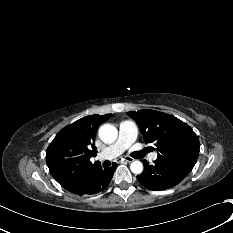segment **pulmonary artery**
Returning a JSON list of instances; mask_svg holds the SVG:
<instances>
[{
    "instance_id": "e3ab8cb5",
    "label": "pulmonary artery",
    "mask_w": 233,
    "mask_h": 233,
    "mask_svg": "<svg viewBox=\"0 0 233 233\" xmlns=\"http://www.w3.org/2000/svg\"><path fill=\"white\" fill-rule=\"evenodd\" d=\"M138 135V128L132 120H123L119 125L118 139L105 150H103L98 158L100 159H113L121 155L128 149L136 140ZM157 154L153 153L150 156L151 160H156Z\"/></svg>"
}]
</instances>
